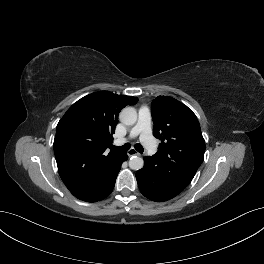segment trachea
I'll return each mask as SVG.
<instances>
[{
	"label": "trachea",
	"mask_w": 264,
	"mask_h": 264,
	"mask_svg": "<svg viewBox=\"0 0 264 264\" xmlns=\"http://www.w3.org/2000/svg\"><path fill=\"white\" fill-rule=\"evenodd\" d=\"M112 149H113L114 151H122V152H126V151H128V150L130 149V144H129V143H126V144H124V145L121 146V147L113 146ZM135 149H136L139 153H143V152H144L143 147H142L139 143H137V144L135 145Z\"/></svg>",
	"instance_id": "obj_1"
}]
</instances>
